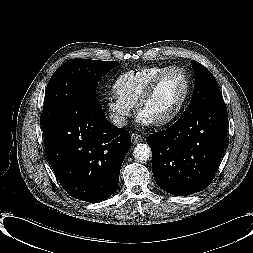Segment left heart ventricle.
<instances>
[{
    "instance_id": "b2bd125f",
    "label": "left heart ventricle",
    "mask_w": 253,
    "mask_h": 253,
    "mask_svg": "<svg viewBox=\"0 0 253 253\" xmlns=\"http://www.w3.org/2000/svg\"><path fill=\"white\" fill-rule=\"evenodd\" d=\"M185 89V81L181 73H169L160 82L152 99L142 111L145 121L159 119L170 112L178 104Z\"/></svg>"
}]
</instances>
